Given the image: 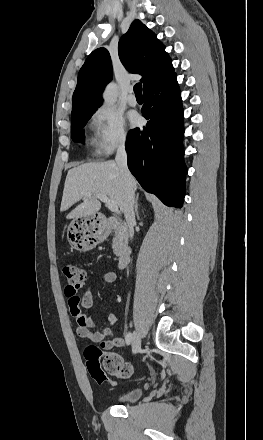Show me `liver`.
Listing matches in <instances>:
<instances>
[{
  "label": "liver",
  "mask_w": 263,
  "mask_h": 440,
  "mask_svg": "<svg viewBox=\"0 0 263 440\" xmlns=\"http://www.w3.org/2000/svg\"><path fill=\"white\" fill-rule=\"evenodd\" d=\"M132 187L134 191L137 189L134 177ZM88 193L92 195L87 197ZM97 194L106 195L123 211V180L116 162L85 163L70 169L64 184L60 211L68 210L83 199V203L73 209L66 218L94 215L101 208Z\"/></svg>",
  "instance_id": "6515ba94"
}]
</instances>
